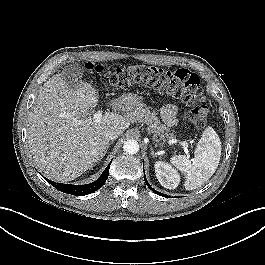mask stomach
I'll use <instances>...</instances> for the list:
<instances>
[{
  "mask_svg": "<svg viewBox=\"0 0 265 265\" xmlns=\"http://www.w3.org/2000/svg\"><path fill=\"white\" fill-rule=\"evenodd\" d=\"M140 99L136 96L129 97V105L131 110H134L138 105H140Z\"/></svg>",
  "mask_w": 265,
  "mask_h": 265,
  "instance_id": "stomach-1",
  "label": "stomach"
}]
</instances>
